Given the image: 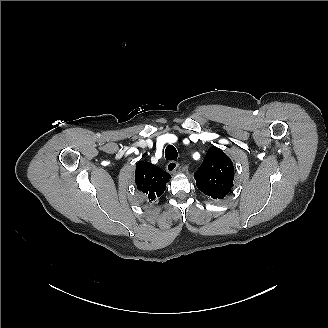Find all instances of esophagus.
<instances>
[{"mask_svg":"<svg viewBox=\"0 0 328 328\" xmlns=\"http://www.w3.org/2000/svg\"><path fill=\"white\" fill-rule=\"evenodd\" d=\"M179 166V163L177 161H169L166 165V170L168 173H174Z\"/></svg>","mask_w":328,"mask_h":328,"instance_id":"34e87169","label":"esophagus"}]
</instances>
